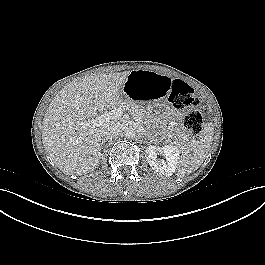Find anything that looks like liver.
I'll use <instances>...</instances> for the list:
<instances>
[{
	"label": "liver",
	"mask_w": 265,
	"mask_h": 265,
	"mask_svg": "<svg viewBox=\"0 0 265 265\" xmlns=\"http://www.w3.org/2000/svg\"><path fill=\"white\" fill-rule=\"evenodd\" d=\"M130 72L85 76L65 85L53 98L43 119L42 142L55 165L67 175L94 171L101 157L100 127H83L96 111L120 99Z\"/></svg>",
	"instance_id": "1"
}]
</instances>
